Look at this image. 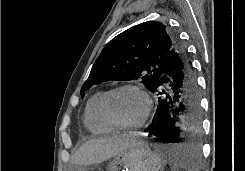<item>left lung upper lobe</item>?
<instances>
[{"label": "left lung upper lobe", "mask_w": 245, "mask_h": 171, "mask_svg": "<svg viewBox=\"0 0 245 171\" xmlns=\"http://www.w3.org/2000/svg\"><path fill=\"white\" fill-rule=\"evenodd\" d=\"M181 45L177 35L158 21L129 28L103 48L81 88V97L90 87L110 80L139 79L152 92L167 56Z\"/></svg>", "instance_id": "1"}]
</instances>
